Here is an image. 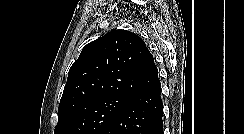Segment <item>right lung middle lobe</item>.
<instances>
[{
    "label": "right lung middle lobe",
    "mask_w": 244,
    "mask_h": 134,
    "mask_svg": "<svg viewBox=\"0 0 244 134\" xmlns=\"http://www.w3.org/2000/svg\"><path fill=\"white\" fill-rule=\"evenodd\" d=\"M129 100L114 96L82 105L71 115L58 119L54 134H101Z\"/></svg>",
    "instance_id": "dd1d6c3e"
}]
</instances>
